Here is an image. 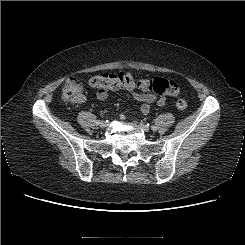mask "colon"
Wrapping results in <instances>:
<instances>
[{"label": "colon", "mask_w": 245, "mask_h": 245, "mask_svg": "<svg viewBox=\"0 0 245 245\" xmlns=\"http://www.w3.org/2000/svg\"><path fill=\"white\" fill-rule=\"evenodd\" d=\"M91 87L98 91H112L125 88H139L145 91H153L163 96H174L179 92L178 84L163 77L136 79L132 74L125 72L102 73L90 79ZM62 95L65 101L70 103L78 102L82 99V85L76 78H69L64 83ZM188 104L180 99L176 102L179 110H185Z\"/></svg>", "instance_id": "colon-1"}]
</instances>
